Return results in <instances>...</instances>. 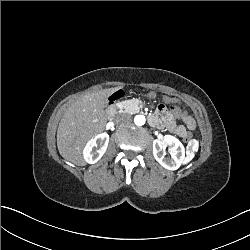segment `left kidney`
<instances>
[{
    "label": "left kidney",
    "mask_w": 250,
    "mask_h": 250,
    "mask_svg": "<svg viewBox=\"0 0 250 250\" xmlns=\"http://www.w3.org/2000/svg\"><path fill=\"white\" fill-rule=\"evenodd\" d=\"M168 146L174 152L171 158L165 157L164 149ZM155 159L168 170H177L185 159V148L181 141L173 135L166 134L163 140H155L153 143Z\"/></svg>",
    "instance_id": "1"
}]
</instances>
